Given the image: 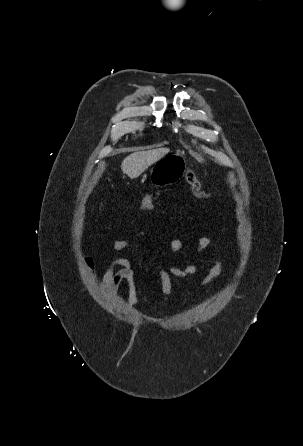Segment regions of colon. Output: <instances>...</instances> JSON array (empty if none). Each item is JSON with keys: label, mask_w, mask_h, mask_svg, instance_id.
I'll use <instances>...</instances> for the list:
<instances>
[{"label": "colon", "mask_w": 303, "mask_h": 446, "mask_svg": "<svg viewBox=\"0 0 303 446\" xmlns=\"http://www.w3.org/2000/svg\"><path fill=\"white\" fill-rule=\"evenodd\" d=\"M184 179L190 187L192 193L198 198H208L209 194L204 191L198 176L191 170L184 173ZM155 194H148L140 203V210L150 209L154 203Z\"/></svg>", "instance_id": "obj_1"}]
</instances>
